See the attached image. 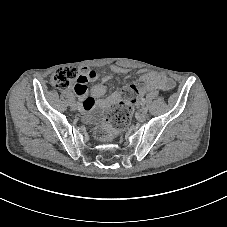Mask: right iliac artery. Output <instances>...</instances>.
<instances>
[{"label":"right iliac artery","instance_id":"obj_1","mask_svg":"<svg viewBox=\"0 0 227 227\" xmlns=\"http://www.w3.org/2000/svg\"><path fill=\"white\" fill-rule=\"evenodd\" d=\"M77 107H78L79 111H83L84 110L82 105L79 102H77Z\"/></svg>","mask_w":227,"mask_h":227}]
</instances>
